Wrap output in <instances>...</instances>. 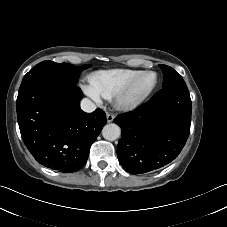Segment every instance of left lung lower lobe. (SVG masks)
Here are the masks:
<instances>
[{
    "mask_svg": "<svg viewBox=\"0 0 227 227\" xmlns=\"http://www.w3.org/2000/svg\"><path fill=\"white\" fill-rule=\"evenodd\" d=\"M191 105L187 86H169L137 109L119 114L114 122L121 127L117 156L122 167L142 174L173 161L190 133Z\"/></svg>",
    "mask_w": 227,
    "mask_h": 227,
    "instance_id": "obj_1",
    "label": "left lung lower lobe"
}]
</instances>
